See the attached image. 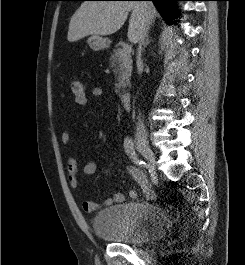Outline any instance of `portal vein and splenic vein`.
<instances>
[{"label": "portal vein and splenic vein", "mask_w": 245, "mask_h": 265, "mask_svg": "<svg viewBox=\"0 0 245 265\" xmlns=\"http://www.w3.org/2000/svg\"><path fill=\"white\" fill-rule=\"evenodd\" d=\"M132 51V46L129 44H126L123 46V54H130Z\"/></svg>", "instance_id": "1"}]
</instances>
